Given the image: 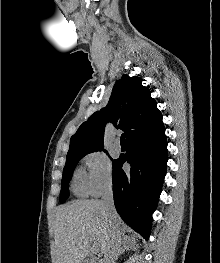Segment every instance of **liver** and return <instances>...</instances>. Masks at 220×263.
<instances>
[{"instance_id": "liver-1", "label": "liver", "mask_w": 220, "mask_h": 263, "mask_svg": "<svg viewBox=\"0 0 220 263\" xmlns=\"http://www.w3.org/2000/svg\"><path fill=\"white\" fill-rule=\"evenodd\" d=\"M114 226L120 238L130 239L126 225L117 215ZM112 224L105 215L100 200H76L57 209L54 223L55 263H81L95 242L105 263L110 250Z\"/></svg>"}]
</instances>
